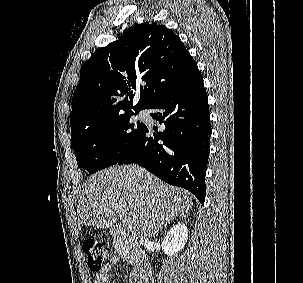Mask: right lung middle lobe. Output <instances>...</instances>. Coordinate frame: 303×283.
Segmentation results:
<instances>
[{"label": "right lung middle lobe", "instance_id": "obj_1", "mask_svg": "<svg viewBox=\"0 0 303 283\" xmlns=\"http://www.w3.org/2000/svg\"><path fill=\"white\" fill-rule=\"evenodd\" d=\"M130 112L96 123L71 134L77 164L90 174L117 164L134 146L146 126L135 122Z\"/></svg>", "mask_w": 303, "mask_h": 283}]
</instances>
